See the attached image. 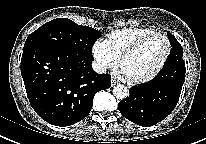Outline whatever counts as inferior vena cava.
<instances>
[{"instance_id": "1", "label": "inferior vena cava", "mask_w": 206, "mask_h": 144, "mask_svg": "<svg viewBox=\"0 0 206 144\" xmlns=\"http://www.w3.org/2000/svg\"><path fill=\"white\" fill-rule=\"evenodd\" d=\"M92 68L97 73H100V74L106 73V66H104L103 64H100L98 62H93Z\"/></svg>"}]
</instances>
